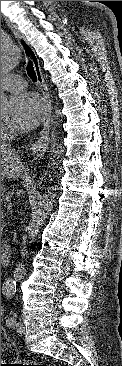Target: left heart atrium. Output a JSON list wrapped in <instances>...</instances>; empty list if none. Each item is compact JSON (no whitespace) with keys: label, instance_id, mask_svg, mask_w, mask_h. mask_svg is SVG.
<instances>
[{"label":"left heart atrium","instance_id":"39dd6f15","mask_svg":"<svg viewBox=\"0 0 122 366\" xmlns=\"http://www.w3.org/2000/svg\"><path fill=\"white\" fill-rule=\"evenodd\" d=\"M44 113L45 105L39 96L22 93L11 98L6 124L14 131L31 130L40 123Z\"/></svg>","mask_w":122,"mask_h":366}]
</instances>
